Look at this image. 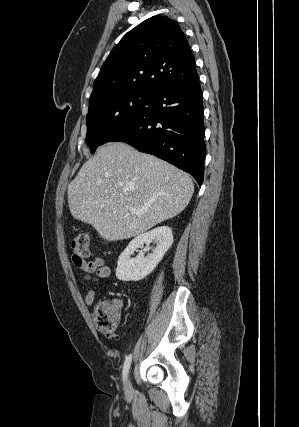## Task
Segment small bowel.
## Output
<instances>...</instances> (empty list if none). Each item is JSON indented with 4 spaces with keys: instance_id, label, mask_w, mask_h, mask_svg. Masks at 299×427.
<instances>
[{
    "instance_id": "obj_1",
    "label": "small bowel",
    "mask_w": 299,
    "mask_h": 427,
    "mask_svg": "<svg viewBox=\"0 0 299 427\" xmlns=\"http://www.w3.org/2000/svg\"><path fill=\"white\" fill-rule=\"evenodd\" d=\"M76 265L83 271L84 278L88 283H98L102 279L109 277L111 273L110 267L105 264L101 257H96L93 261L83 264L76 263ZM95 299L96 292L90 289L85 295V303L91 305L94 303Z\"/></svg>"
}]
</instances>
